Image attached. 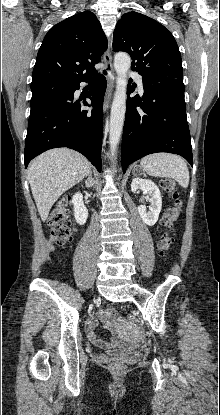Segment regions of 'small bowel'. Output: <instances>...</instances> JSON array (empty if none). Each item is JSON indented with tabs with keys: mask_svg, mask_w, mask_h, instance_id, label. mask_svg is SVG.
Instances as JSON below:
<instances>
[{
	"mask_svg": "<svg viewBox=\"0 0 220 415\" xmlns=\"http://www.w3.org/2000/svg\"><path fill=\"white\" fill-rule=\"evenodd\" d=\"M99 321L103 322L106 327H110V324L106 321L105 315L103 312H99L96 317H92L88 320V323L86 325V334L94 345L102 348V349H108L109 345L113 341H107L102 338H100L97 334V327Z\"/></svg>",
	"mask_w": 220,
	"mask_h": 415,
	"instance_id": "obj_1",
	"label": "small bowel"
}]
</instances>
